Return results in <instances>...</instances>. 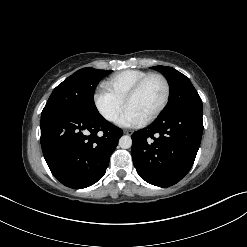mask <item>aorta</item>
Returning <instances> with one entry per match:
<instances>
[{"instance_id": "762f6f07", "label": "aorta", "mask_w": 247, "mask_h": 247, "mask_svg": "<svg viewBox=\"0 0 247 247\" xmlns=\"http://www.w3.org/2000/svg\"><path fill=\"white\" fill-rule=\"evenodd\" d=\"M119 146L122 149H128L132 146V139L128 135H124L119 139Z\"/></svg>"}]
</instances>
